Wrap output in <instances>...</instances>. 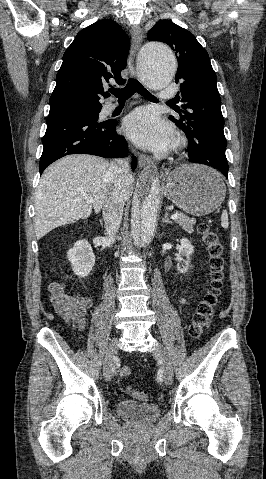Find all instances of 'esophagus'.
I'll return each instance as SVG.
<instances>
[{
    "mask_svg": "<svg viewBox=\"0 0 266 479\" xmlns=\"http://www.w3.org/2000/svg\"><path fill=\"white\" fill-rule=\"evenodd\" d=\"M131 49L128 59V67L133 76H136V71L134 67V59L142 43V33L140 28L137 25H134L131 29ZM138 165L140 168H153V161L151 158L145 154H139L138 156Z\"/></svg>",
    "mask_w": 266,
    "mask_h": 479,
    "instance_id": "34e87169",
    "label": "esophagus"
}]
</instances>
